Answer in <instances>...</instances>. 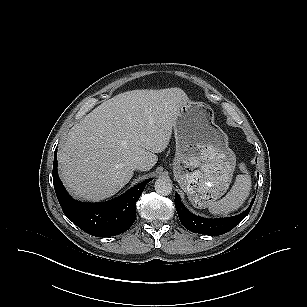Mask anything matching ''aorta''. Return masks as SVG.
Segmentation results:
<instances>
[{
    "label": "aorta",
    "instance_id": "762f6f07",
    "mask_svg": "<svg viewBox=\"0 0 307 307\" xmlns=\"http://www.w3.org/2000/svg\"><path fill=\"white\" fill-rule=\"evenodd\" d=\"M172 183L167 178H158L155 181L154 188L155 191L163 196H167L172 192Z\"/></svg>",
    "mask_w": 307,
    "mask_h": 307
}]
</instances>
